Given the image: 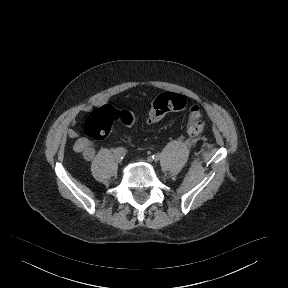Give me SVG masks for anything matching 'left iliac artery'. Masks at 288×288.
Returning a JSON list of instances; mask_svg holds the SVG:
<instances>
[{
  "mask_svg": "<svg viewBox=\"0 0 288 288\" xmlns=\"http://www.w3.org/2000/svg\"><path fill=\"white\" fill-rule=\"evenodd\" d=\"M150 160H153V161H158L159 160V155L158 154H154L150 157Z\"/></svg>",
  "mask_w": 288,
  "mask_h": 288,
  "instance_id": "44dca946",
  "label": "left iliac artery"
}]
</instances>
